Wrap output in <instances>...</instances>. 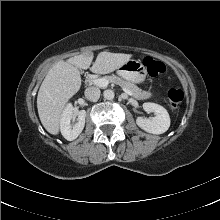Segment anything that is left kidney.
Wrapping results in <instances>:
<instances>
[{"instance_id": "5707ae66", "label": "left kidney", "mask_w": 220, "mask_h": 220, "mask_svg": "<svg viewBox=\"0 0 220 220\" xmlns=\"http://www.w3.org/2000/svg\"><path fill=\"white\" fill-rule=\"evenodd\" d=\"M143 109L154 113L155 116L150 119L138 117L136 123L141 129L152 134H162L169 129L170 117L164 107L156 103L146 102L143 104Z\"/></svg>"}]
</instances>
